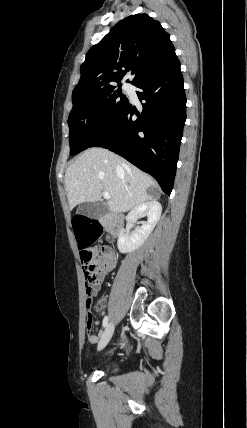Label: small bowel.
Instances as JSON below:
<instances>
[{
    "mask_svg": "<svg viewBox=\"0 0 247 428\" xmlns=\"http://www.w3.org/2000/svg\"><path fill=\"white\" fill-rule=\"evenodd\" d=\"M101 256L104 257V259L106 260V264L105 267L103 269L102 272V276L101 279L95 283L94 285H92L89 289V291H87L86 289V293L88 295V299L94 295L97 294L99 288H100V284L102 282V280L104 279V277L110 273L117 265V257L116 254L114 253V251L110 248H102L101 250ZM87 299V300H88ZM99 339L98 335H89L88 336V340L90 343H96Z\"/></svg>",
    "mask_w": 247,
    "mask_h": 428,
    "instance_id": "1",
    "label": "small bowel"
}]
</instances>
